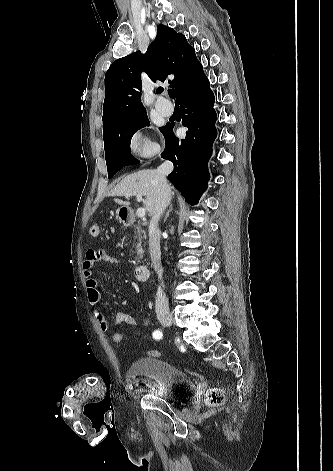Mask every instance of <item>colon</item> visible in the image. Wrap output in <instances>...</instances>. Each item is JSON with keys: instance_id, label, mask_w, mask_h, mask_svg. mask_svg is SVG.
Listing matches in <instances>:
<instances>
[{"instance_id": "5ec220e1", "label": "colon", "mask_w": 333, "mask_h": 471, "mask_svg": "<svg viewBox=\"0 0 333 471\" xmlns=\"http://www.w3.org/2000/svg\"><path fill=\"white\" fill-rule=\"evenodd\" d=\"M99 226L97 224H92L89 229V233L93 237H97L99 235ZM125 336L122 332H114L112 335V341L115 345H122L124 342ZM149 355L151 357H159L160 352L158 350H151L149 351ZM207 402L211 406H217L224 402V394L223 391L219 388L211 389L207 394Z\"/></svg>"}]
</instances>
